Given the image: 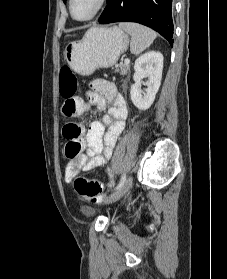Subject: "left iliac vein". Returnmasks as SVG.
<instances>
[{"label": "left iliac vein", "instance_id": "obj_1", "mask_svg": "<svg viewBox=\"0 0 227 279\" xmlns=\"http://www.w3.org/2000/svg\"><path fill=\"white\" fill-rule=\"evenodd\" d=\"M132 183H133V178L130 176L116 192H114L112 195H110L109 198L106 199V202L112 203L118 201L131 189Z\"/></svg>", "mask_w": 227, "mask_h": 279}]
</instances>
